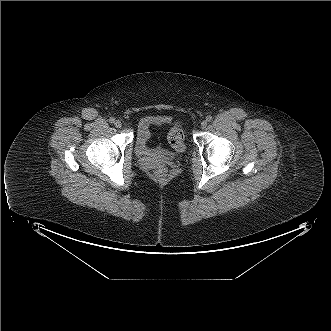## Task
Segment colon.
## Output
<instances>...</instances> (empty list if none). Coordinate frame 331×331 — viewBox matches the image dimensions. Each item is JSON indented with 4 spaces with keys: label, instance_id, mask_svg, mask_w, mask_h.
Segmentation results:
<instances>
[{
    "label": "colon",
    "instance_id": "colon-1",
    "mask_svg": "<svg viewBox=\"0 0 331 331\" xmlns=\"http://www.w3.org/2000/svg\"><path fill=\"white\" fill-rule=\"evenodd\" d=\"M168 141L171 146L179 148L184 141V135L178 126L173 127L168 134ZM157 180H165L167 177V170L164 167H156L154 171Z\"/></svg>",
    "mask_w": 331,
    "mask_h": 331
}]
</instances>
